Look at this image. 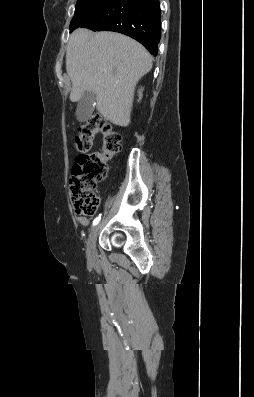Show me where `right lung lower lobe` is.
Instances as JSON below:
<instances>
[{
  "instance_id": "obj_1",
  "label": "right lung lower lobe",
  "mask_w": 254,
  "mask_h": 397,
  "mask_svg": "<svg viewBox=\"0 0 254 397\" xmlns=\"http://www.w3.org/2000/svg\"><path fill=\"white\" fill-rule=\"evenodd\" d=\"M80 27L128 35L156 56L161 36L160 3L159 0H108Z\"/></svg>"
}]
</instances>
